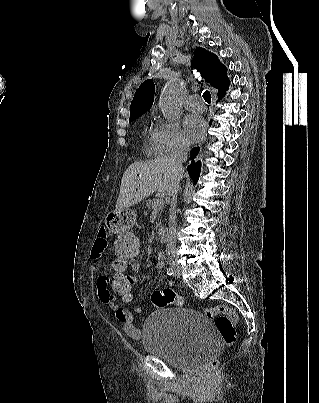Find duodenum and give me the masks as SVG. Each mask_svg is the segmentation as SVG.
Listing matches in <instances>:
<instances>
[{
  "label": "duodenum",
  "mask_w": 319,
  "mask_h": 403,
  "mask_svg": "<svg viewBox=\"0 0 319 403\" xmlns=\"http://www.w3.org/2000/svg\"><path fill=\"white\" fill-rule=\"evenodd\" d=\"M157 234L160 237V239L164 242H168L170 239V232L169 229L164 226V225H160L156 228Z\"/></svg>",
  "instance_id": "duodenum-1"
}]
</instances>
